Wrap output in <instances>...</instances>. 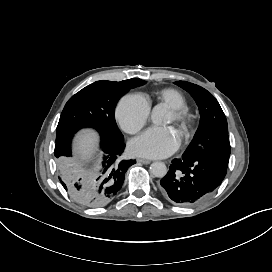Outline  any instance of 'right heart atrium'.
Here are the masks:
<instances>
[{
    "label": "right heart atrium",
    "instance_id": "obj_1",
    "mask_svg": "<svg viewBox=\"0 0 272 272\" xmlns=\"http://www.w3.org/2000/svg\"><path fill=\"white\" fill-rule=\"evenodd\" d=\"M150 104L141 94H127L117 109V118L121 127L129 134H137L147 123Z\"/></svg>",
    "mask_w": 272,
    "mask_h": 272
}]
</instances>
